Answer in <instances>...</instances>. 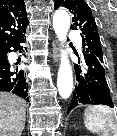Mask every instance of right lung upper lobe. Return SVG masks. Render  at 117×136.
Segmentation results:
<instances>
[{
  "mask_svg": "<svg viewBox=\"0 0 117 136\" xmlns=\"http://www.w3.org/2000/svg\"><path fill=\"white\" fill-rule=\"evenodd\" d=\"M27 25L28 18L23 0H0V53L25 31Z\"/></svg>",
  "mask_w": 117,
  "mask_h": 136,
  "instance_id": "cb5924a9",
  "label": "right lung upper lobe"
}]
</instances>
